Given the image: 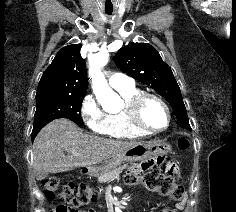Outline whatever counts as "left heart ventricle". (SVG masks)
Returning <instances> with one entry per match:
<instances>
[{
  "label": "left heart ventricle",
  "instance_id": "b2bd125f",
  "mask_svg": "<svg viewBox=\"0 0 236 212\" xmlns=\"http://www.w3.org/2000/svg\"><path fill=\"white\" fill-rule=\"evenodd\" d=\"M143 120L151 128L160 129L167 125L168 117L161 104L148 100L143 108Z\"/></svg>",
  "mask_w": 236,
  "mask_h": 212
}]
</instances>
